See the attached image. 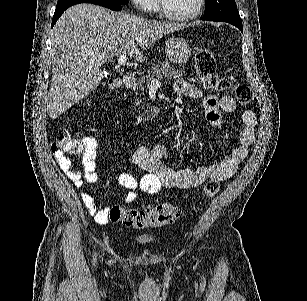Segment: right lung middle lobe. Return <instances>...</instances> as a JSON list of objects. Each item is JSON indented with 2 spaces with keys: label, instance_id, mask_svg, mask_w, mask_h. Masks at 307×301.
Returning <instances> with one entry per match:
<instances>
[{
  "label": "right lung middle lobe",
  "instance_id": "obj_1",
  "mask_svg": "<svg viewBox=\"0 0 307 301\" xmlns=\"http://www.w3.org/2000/svg\"><path fill=\"white\" fill-rule=\"evenodd\" d=\"M81 1H84V0H58L57 7L72 4V3H77ZM108 1L118 2L122 5H125L128 3V0H108Z\"/></svg>",
  "mask_w": 307,
  "mask_h": 301
}]
</instances>
